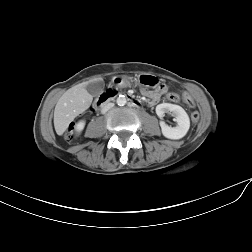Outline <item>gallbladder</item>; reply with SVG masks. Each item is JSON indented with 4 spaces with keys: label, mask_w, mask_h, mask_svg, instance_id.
Segmentation results:
<instances>
[{
    "label": "gallbladder",
    "mask_w": 252,
    "mask_h": 252,
    "mask_svg": "<svg viewBox=\"0 0 252 252\" xmlns=\"http://www.w3.org/2000/svg\"><path fill=\"white\" fill-rule=\"evenodd\" d=\"M103 87H104V85H103V83L101 81H95V82L89 83L86 86V90L92 96H97L102 92Z\"/></svg>",
    "instance_id": "obj_1"
}]
</instances>
